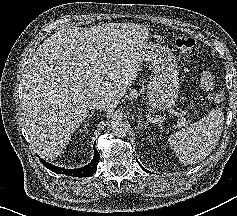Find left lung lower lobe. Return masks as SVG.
Listing matches in <instances>:
<instances>
[{
  "label": "left lung lower lobe",
  "instance_id": "1",
  "mask_svg": "<svg viewBox=\"0 0 237 216\" xmlns=\"http://www.w3.org/2000/svg\"><path fill=\"white\" fill-rule=\"evenodd\" d=\"M137 162H138V161H137ZM138 163H139V162H138ZM139 166H141L140 163H139ZM141 168H142L144 171L149 172L148 170H146V169L143 168L142 166H141Z\"/></svg>",
  "mask_w": 237,
  "mask_h": 216
}]
</instances>
